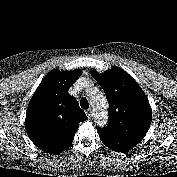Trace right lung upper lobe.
Wrapping results in <instances>:
<instances>
[{"label":"right lung upper lobe","mask_w":177,"mask_h":177,"mask_svg":"<svg viewBox=\"0 0 177 177\" xmlns=\"http://www.w3.org/2000/svg\"><path fill=\"white\" fill-rule=\"evenodd\" d=\"M74 71H50L31 98L25 127L36 146L48 144L54 154L66 150L73 142L79 123L87 120L78 101L69 95V88L81 76Z\"/></svg>","instance_id":"obj_1"}]
</instances>
